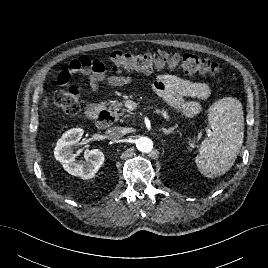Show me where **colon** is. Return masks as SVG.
<instances>
[{
  "label": "colon",
  "mask_w": 268,
  "mask_h": 268,
  "mask_svg": "<svg viewBox=\"0 0 268 268\" xmlns=\"http://www.w3.org/2000/svg\"><path fill=\"white\" fill-rule=\"evenodd\" d=\"M110 66L116 70H151L154 68H180L187 76L215 75L220 67L217 63L195 55L176 53H130L115 51L109 56ZM64 82L66 79L63 80ZM81 91L77 87L59 90L54 95L55 104L66 113L75 114L80 110Z\"/></svg>",
  "instance_id": "colon-1"
}]
</instances>
